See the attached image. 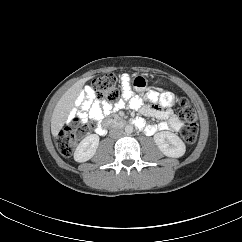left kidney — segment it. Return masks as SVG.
Returning <instances> with one entry per match:
<instances>
[{"label": "left kidney", "instance_id": "left-kidney-1", "mask_svg": "<svg viewBox=\"0 0 242 242\" xmlns=\"http://www.w3.org/2000/svg\"><path fill=\"white\" fill-rule=\"evenodd\" d=\"M154 141L160 151L167 157L179 158L185 154L186 146L176 134L162 131L154 135Z\"/></svg>", "mask_w": 242, "mask_h": 242}]
</instances>
